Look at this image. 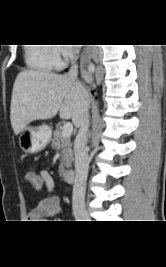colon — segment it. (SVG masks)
<instances>
[{
  "instance_id": "obj_1",
  "label": "colon",
  "mask_w": 166,
  "mask_h": 267,
  "mask_svg": "<svg viewBox=\"0 0 166 267\" xmlns=\"http://www.w3.org/2000/svg\"><path fill=\"white\" fill-rule=\"evenodd\" d=\"M25 180H28V185H34V188H45L43 177H39L37 171L27 170L25 173Z\"/></svg>"
}]
</instances>
